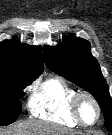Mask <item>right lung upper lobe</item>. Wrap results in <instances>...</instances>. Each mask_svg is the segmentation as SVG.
Returning a JSON list of instances; mask_svg holds the SVG:
<instances>
[{
	"label": "right lung upper lobe",
	"mask_w": 112,
	"mask_h": 135,
	"mask_svg": "<svg viewBox=\"0 0 112 135\" xmlns=\"http://www.w3.org/2000/svg\"><path fill=\"white\" fill-rule=\"evenodd\" d=\"M42 67L40 47L22 44L16 37L0 42V78L18 74L36 79Z\"/></svg>",
	"instance_id": "1"
}]
</instances>
